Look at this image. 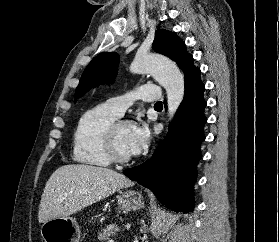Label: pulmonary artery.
<instances>
[{
    "instance_id": "obj_1",
    "label": "pulmonary artery",
    "mask_w": 279,
    "mask_h": 242,
    "mask_svg": "<svg viewBox=\"0 0 279 242\" xmlns=\"http://www.w3.org/2000/svg\"><path fill=\"white\" fill-rule=\"evenodd\" d=\"M160 88L156 85H142L136 91L119 95L108 99L105 105L117 116L123 115L125 110L133 104L136 99L148 102H156L160 98Z\"/></svg>"
}]
</instances>
